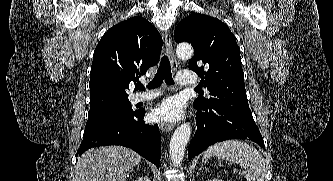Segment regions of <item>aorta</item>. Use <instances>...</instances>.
Returning a JSON list of instances; mask_svg holds the SVG:
<instances>
[{
  "mask_svg": "<svg viewBox=\"0 0 333 181\" xmlns=\"http://www.w3.org/2000/svg\"><path fill=\"white\" fill-rule=\"evenodd\" d=\"M176 54L180 59H190L193 56L191 45L183 43L176 48ZM191 136V126L189 123H183L175 130L170 141V157L174 166L182 163L186 145Z\"/></svg>",
  "mask_w": 333,
  "mask_h": 181,
  "instance_id": "aorta-1",
  "label": "aorta"
}]
</instances>
